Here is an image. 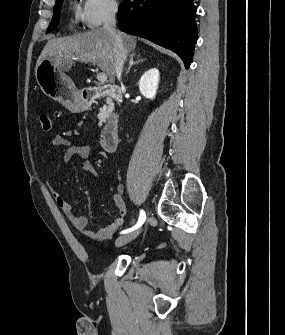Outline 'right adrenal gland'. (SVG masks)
Masks as SVG:
<instances>
[{
	"label": "right adrenal gland",
	"mask_w": 285,
	"mask_h": 335,
	"mask_svg": "<svg viewBox=\"0 0 285 335\" xmlns=\"http://www.w3.org/2000/svg\"><path fill=\"white\" fill-rule=\"evenodd\" d=\"M134 56H135V54H131V56L129 58L128 68H127L126 74H129V72H130L132 66H134V64H142V62H145V60H137V62H134Z\"/></svg>",
	"instance_id": "obj_1"
}]
</instances>
